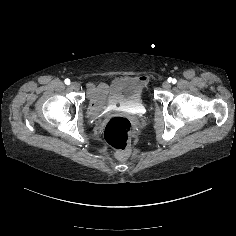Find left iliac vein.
<instances>
[{
	"label": "left iliac vein",
	"instance_id": "left-iliac-vein-1",
	"mask_svg": "<svg viewBox=\"0 0 236 236\" xmlns=\"http://www.w3.org/2000/svg\"><path fill=\"white\" fill-rule=\"evenodd\" d=\"M162 86L164 89L168 90L171 87V84L169 82L165 81V82H163Z\"/></svg>",
	"mask_w": 236,
	"mask_h": 236
}]
</instances>
